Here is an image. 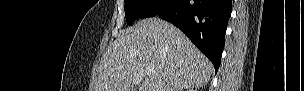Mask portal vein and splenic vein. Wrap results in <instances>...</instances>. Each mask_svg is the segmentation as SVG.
<instances>
[{
	"label": "portal vein and splenic vein",
	"mask_w": 304,
	"mask_h": 91,
	"mask_svg": "<svg viewBox=\"0 0 304 91\" xmlns=\"http://www.w3.org/2000/svg\"><path fill=\"white\" fill-rule=\"evenodd\" d=\"M153 73V70L151 68H146V74L151 75Z\"/></svg>",
	"instance_id": "obj_1"
}]
</instances>
